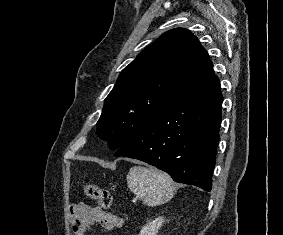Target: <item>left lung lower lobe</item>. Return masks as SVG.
Segmentation results:
<instances>
[{
  "instance_id": "1",
  "label": "left lung lower lobe",
  "mask_w": 283,
  "mask_h": 235,
  "mask_svg": "<svg viewBox=\"0 0 283 235\" xmlns=\"http://www.w3.org/2000/svg\"><path fill=\"white\" fill-rule=\"evenodd\" d=\"M222 101L220 82L214 75L149 123L114 156L144 161L178 183L210 191Z\"/></svg>"
}]
</instances>
